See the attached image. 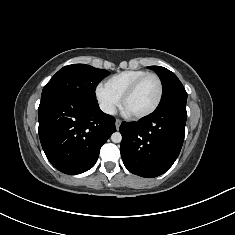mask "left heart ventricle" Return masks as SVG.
I'll list each match as a JSON object with an SVG mask.
<instances>
[{
	"label": "left heart ventricle",
	"mask_w": 235,
	"mask_h": 235,
	"mask_svg": "<svg viewBox=\"0 0 235 235\" xmlns=\"http://www.w3.org/2000/svg\"><path fill=\"white\" fill-rule=\"evenodd\" d=\"M159 86L154 77L146 78L130 96L125 104L124 109L129 114H137L150 109L158 98Z\"/></svg>",
	"instance_id": "b2bd125f"
}]
</instances>
